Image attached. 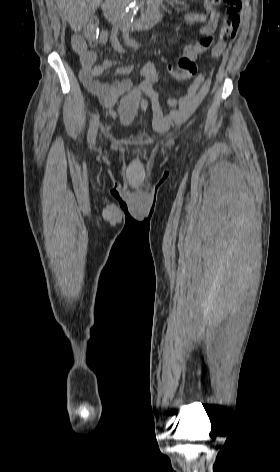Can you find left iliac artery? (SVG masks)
I'll return each instance as SVG.
<instances>
[{"mask_svg": "<svg viewBox=\"0 0 280 472\" xmlns=\"http://www.w3.org/2000/svg\"><path fill=\"white\" fill-rule=\"evenodd\" d=\"M123 37H124V40L126 41V43L128 45H130L132 47L137 46L136 42L129 38V29H128V27L123 28Z\"/></svg>", "mask_w": 280, "mask_h": 472, "instance_id": "obj_1", "label": "left iliac artery"}]
</instances>
